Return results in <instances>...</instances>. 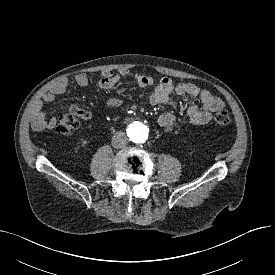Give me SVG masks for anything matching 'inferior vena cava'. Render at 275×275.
I'll use <instances>...</instances> for the list:
<instances>
[{"label":"inferior vena cava","instance_id":"1","mask_svg":"<svg viewBox=\"0 0 275 275\" xmlns=\"http://www.w3.org/2000/svg\"><path fill=\"white\" fill-rule=\"evenodd\" d=\"M128 143V137L124 132H116L112 137V146L116 149L123 148Z\"/></svg>","mask_w":275,"mask_h":275}]
</instances>
